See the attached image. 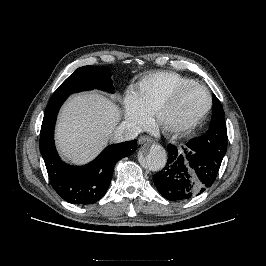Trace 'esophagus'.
I'll use <instances>...</instances> for the list:
<instances>
[{"instance_id": "1", "label": "esophagus", "mask_w": 266, "mask_h": 266, "mask_svg": "<svg viewBox=\"0 0 266 266\" xmlns=\"http://www.w3.org/2000/svg\"><path fill=\"white\" fill-rule=\"evenodd\" d=\"M153 140L148 136H140L138 138V144H144V143H152Z\"/></svg>"}]
</instances>
